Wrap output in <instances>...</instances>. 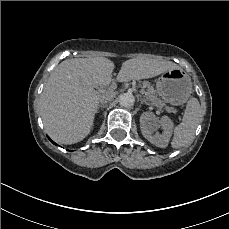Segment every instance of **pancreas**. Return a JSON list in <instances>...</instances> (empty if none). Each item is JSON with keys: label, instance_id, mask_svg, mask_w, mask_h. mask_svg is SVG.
<instances>
[{"label": "pancreas", "instance_id": "pancreas-1", "mask_svg": "<svg viewBox=\"0 0 229 229\" xmlns=\"http://www.w3.org/2000/svg\"><path fill=\"white\" fill-rule=\"evenodd\" d=\"M142 87L143 88L140 90V93L145 95L144 102L147 105H153L158 107L159 109H162L165 106V103L160 98H158L156 90L153 86H151L150 82L143 81ZM166 109L168 112H176L173 107H167Z\"/></svg>", "mask_w": 229, "mask_h": 229}]
</instances>
